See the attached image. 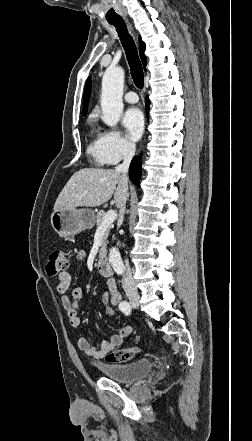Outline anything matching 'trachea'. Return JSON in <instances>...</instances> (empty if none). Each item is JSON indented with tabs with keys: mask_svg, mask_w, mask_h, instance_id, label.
Here are the masks:
<instances>
[{
	"mask_svg": "<svg viewBox=\"0 0 252 441\" xmlns=\"http://www.w3.org/2000/svg\"><path fill=\"white\" fill-rule=\"evenodd\" d=\"M110 24L114 25L118 35L120 37L121 43L124 47L128 64L131 70L132 79L137 88L143 89L144 85V75L141 61L138 56L136 45L128 33L126 24L123 20L109 21Z\"/></svg>",
	"mask_w": 252,
	"mask_h": 441,
	"instance_id": "1",
	"label": "trachea"
}]
</instances>
